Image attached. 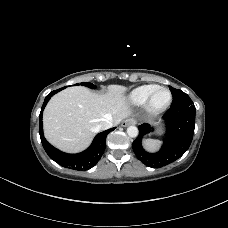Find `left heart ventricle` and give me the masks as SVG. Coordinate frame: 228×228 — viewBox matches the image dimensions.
Segmentation results:
<instances>
[{"instance_id": "b2bd125f", "label": "left heart ventricle", "mask_w": 228, "mask_h": 228, "mask_svg": "<svg viewBox=\"0 0 228 228\" xmlns=\"http://www.w3.org/2000/svg\"><path fill=\"white\" fill-rule=\"evenodd\" d=\"M169 100V94L166 90H160L154 97L153 106L158 108L165 105Z\"/></svg>"}]
</instances>
